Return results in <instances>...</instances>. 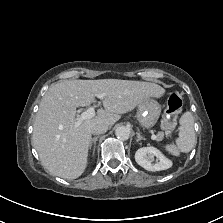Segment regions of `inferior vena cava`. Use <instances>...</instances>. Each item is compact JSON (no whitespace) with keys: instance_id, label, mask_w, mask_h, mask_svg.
Returning a JSON list of instances; mask_svg holds the SVG:
<instances>
[{"instance_id":"602c4592","label":"inferior vena cava","mask_w":223,"mask_h":223,"mask_svg":"<svg viewBox=\"0 0 223 223\" xmlns=\"http://www.w3.org/2000/svg\"><path fill=\"white\" fill-rule=\"evenodd\" d=\"M108 130V127L105 124H96L92 127V133L93 134H103L106 133Z\"/></svg>"}]
</instances>
